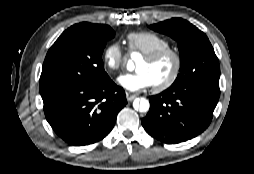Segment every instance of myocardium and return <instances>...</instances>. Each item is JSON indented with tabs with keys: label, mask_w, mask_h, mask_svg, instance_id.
<instances>
[{
	"label": "myocardium",
	"mask_w": 254,
	"mask_h": 174,
	"mask_svg": "<svg viewBox=\"0 0 254 174\" xmlns=\"http://www.w3.org/2000/svg\"><path fill=\"white\" fill-rule=\"evenodd\" d=\"M166 55H171L173 57L174 67H173V71L171 75L169 76L167 80H165L164 82L160 84L154 85V89L158 92L169 89L178 79L180 71H181V67H182L181 54L177 49L171 46H168V47H163L158 50H155L149 54L144 55L143 57L145 61L149 63H154Z\"/></svg>",
	"instance_id": "myocardium-1"
}]
</instances>
